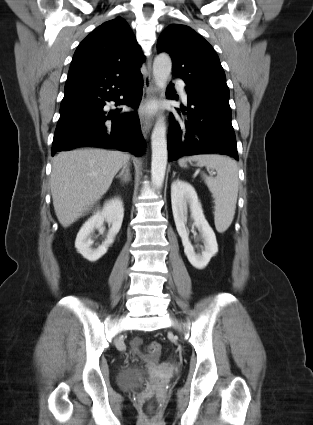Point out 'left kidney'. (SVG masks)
<instances>
[{
	"instance_id": "1",
	"label": "left kidney",
	"mask_w": 313,
	"mask_h": 425,
	"mask_svg": "<svg viewBox=\"0 0 313 425\" xmlns=\"http://www.w3.org/2000/svg\"><path fill=\"white\" fill-rule=\"evenodd\" d=\"M171 203L176 229L184 246V253L192 266L200 270L204 269L210 259L218 252V244L214 231L205 219L194 187L187 182L175 180L171 185ZM188 207L194 221L193 224L200 231L204 243V250L201 254L195 253L188 238L185 226Z\"/></svg>"
}]
</instances>
